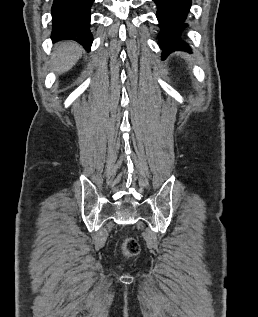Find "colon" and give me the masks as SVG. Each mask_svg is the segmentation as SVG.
<instances>
[{
    "instance_id": "colon-1",
    "label": "colon",
    "mask_w": 258,
    "mask_h": 317,
    "mask_svg": "<svg viewBox=\"0 0 258 317\" xmlns=\"http://www.w3.org/2000/svg\"><path fill=\"white\" fill-rule=\"evenodd\" d=\"M122 249L124 254L128 256H135L139 252V244L136 240L128 238L123 242Z\"/></svg>"
}]
</instances>
